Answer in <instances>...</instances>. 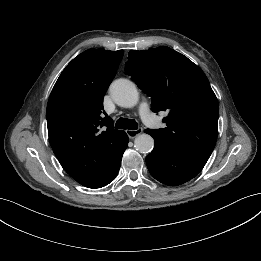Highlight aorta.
I'll list each match as a JSON object with an SVG mask.
<instances>
[{
	"label": "aorta",
	"instance_id": "aorta-1",
	"mask_svg": "<svg viewBox=\"0 0 261 261\" xmlns=\"http://www.w3.org/2000/svg\"><path fill=\"white\" fill-rule=\"evenodd\" d=\"M110 94L115 103L124 108H132L139 101V93L136 85L127 79H117L110 85ZM135 149L143 154L152 151L154 139L149 134H140L134 141Z\"/></svg>",
	"mask_w": 261,
	"mask_h": 261
}]
</instances>
